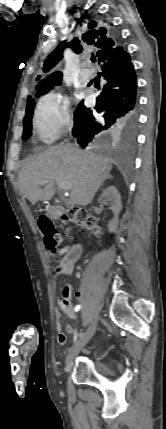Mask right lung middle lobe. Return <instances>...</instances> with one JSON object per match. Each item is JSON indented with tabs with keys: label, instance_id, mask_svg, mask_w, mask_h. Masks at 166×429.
Wrapping results in <instances>:
<instances>
[{
	"label": "right lung middle lobe",
	"instance_id": "dd1d6c3e",
	"mask_svg": "<svg viewBox=\"0 0 166 429\" xmlns=\"http://www.w3.org/2000/svg\"><path fill=\"white\" fill-rule=\"evenodd\" d=\"M56 84L58 83L41 84L37 86V91L39 92L37 96H39V94L47 93L52 88V86ZM34 107H35V99L30 96V98L27 99V109H26L25 118L23 120V126H24L23 140H27L32 134L31 129H32V116L34 112Z\"/></svg>",
	"mask_w": 166,
	"mask_h": 429
}]
</instances>
